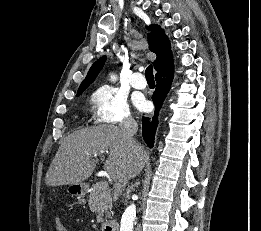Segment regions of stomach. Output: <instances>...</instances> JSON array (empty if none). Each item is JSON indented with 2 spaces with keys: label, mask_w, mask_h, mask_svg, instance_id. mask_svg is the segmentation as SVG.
<instances>
[{
  "label": "stomach",
  "mask_w": 261,
  "mask_h": 231,
  "mask_svg": "<svg viewBox=\"0 0 261 231\" xmlns=\"http://www.w3.org/2000/svg\"><path fill=\"white\" fill-rule=\"evenodd\" d=\"M85 185L83 183L71 184L68 187V192L77 196L83 195L85 192Z\"/></svg>",
  "instance_id": "0dacf381"
}]
</instances>
